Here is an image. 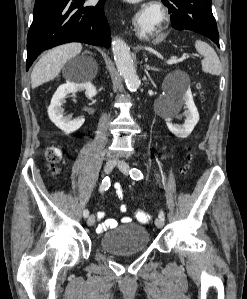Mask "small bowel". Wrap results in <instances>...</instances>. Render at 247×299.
<instances>
[{
    "mask_svg": "<svg viewBox=\"0 0 247 299\" xmlns=\"http://www.w3.org/2000/svg\"><path fill=\"white\" fill-rule=\"evenodd\" d=\"M118 186H119V184H116V185H115V189H116ZM116 195H117V197H118L119 199H122V197H123V192H122L121 194L116 193ZM119 210H120L121 212H126L127 207H126L124 204H122V205L119 206ZM96 217H97V219H98L99 221H102V222L97 226V228H96V231H97V233H99V234L105 232V231L108 230V229H114V228L117 227V225H118V222H117L115 219H112V218H107V219H105V213L102 212V211L97 212ZM122 221H123V222H130V221H131V218L128 217V216H125V217L122 218Z\"/></svg>",
    "mask_w": 247,
    "mask_h": 299,
    "instance_id": "c3829d8e",
    "label": "small bowel"
}]
</instances>
